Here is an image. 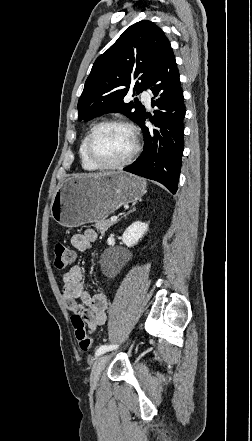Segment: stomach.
Listing matches in <instances>:
<instances>
[{
	"label": "stomach",
	"instance_id": "obj_1",
	"mask_svg": "<svg viewBox=\"0 0 252 441\" xmlns=\"http://www.w3.org/2000/svg\"><path fill=\"white\" fill-rule=\"evenodd\" d=\"M145 188L144 179L122 171L73 176L56 190L51 217L70 228L104 220L123 204L139 200Z\"/></svg>",
	"mask_w": 252,
	"mask_h": 441
}]
</instances>
